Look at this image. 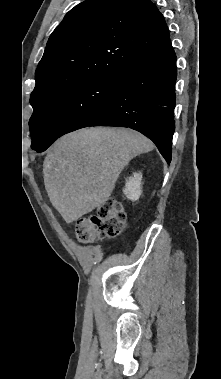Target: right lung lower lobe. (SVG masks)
Returning <instances> with one entry per match:
<instances>
[{
  "instance_id": "right-lung-lower-lobe-1",
  "label": "right lung lower lobe",
  "mask_w": 221,
  "mask_h": 379,
  "mask_svg": "<svg viewBox=\"0 0 221 379\" xmlns=\"http://www.w3.org/2000/svg\"><path fill=\"white\" fill-rule=\"evenodd\" d=\"M176 55L170 45L120 72L113 98L89 126H120L150 138L169 164L175 130ZM47 148L34 149L42 152Z\"/></svg>"
}]
</instances>
